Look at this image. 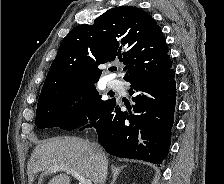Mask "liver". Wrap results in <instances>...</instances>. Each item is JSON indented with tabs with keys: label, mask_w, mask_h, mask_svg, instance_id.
<instances>
[{
	"label": "liver",
	"mask_w": 224,
	"mask_h": 184,
	"mask_svg": "<svg viewBox=\"0 0 224 184\" xmlns=\"http://www.w3.org/2000/svg\"><path fill=\"white\" fill-rule=\"evenodd\" d=\"M55 166L73 169L94 184H100L98 162L91 143L80 138L55 137L39 143L28 162L29 184H33L40 172H54L49 169ZM68 174L53 177L47 184H70Z\"/></svg>",
	"instance_id": "obj_1"
}]
</instances>
